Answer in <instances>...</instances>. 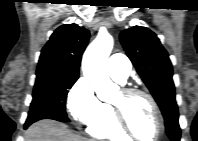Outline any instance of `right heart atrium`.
I'll list each match as a JSON object with an SVG mask.
<instances>
[{"mask_svg":"<svg viewBox=\"0 0 198 141\" xmlns=\"http://www.w3.org/2000/svg\"><path fill=\"white\" fill-rule=\"evenodd\" d=\"M101 102L84 77H80L69 89L66 109L69 117L79 125H88L100 113Z\"/></svg>","mask_w":198,"mask_h":141,"instance_id":"obj_1","label":"right heart atrium"}]
</instances>
